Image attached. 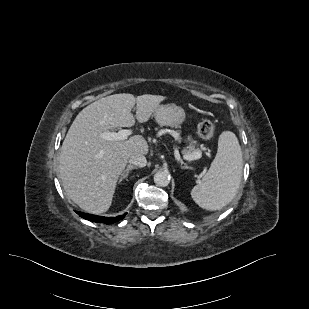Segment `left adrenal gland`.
<instances>
[{"mask_svg":"<svg viewBox=\"0 0 309 309\" xmlns=\"http://www.w3.org/2000/svg\"><path fill=\"white\" fill-rule=\"evenodd\" d=\"M181 168H182V169H192V168L189 167V166H182V165H181Z\"/></svg>","mask_w":309,"mask_h":309,"instance_id":"1","label":"left adrenal gland"}]
</instances>
